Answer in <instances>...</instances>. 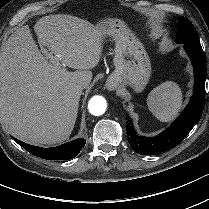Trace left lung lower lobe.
<instances>
[{
    "label": "left lung lower lobe",
    "mask_w": 209,
    "mask_h": 209,
    "mask_svg": "<svg viewBox=\"0 0 209 209\" xmlns=\"http://www.w3.org/2000/svg\"><path fill=\"white\" fill-rule=\"evenodd\" d=\"M183 44L194 69L195 83L191 101L171 126L156 137L139 136L132 127V121L128 119L126 123L127 140L138 154L155 155L174 148L189 134L202 116L205 103V54L200 41Z\"/></svg>",
    "instance_id": "left-lung-lower-lobe-1"
}]
</instances>
